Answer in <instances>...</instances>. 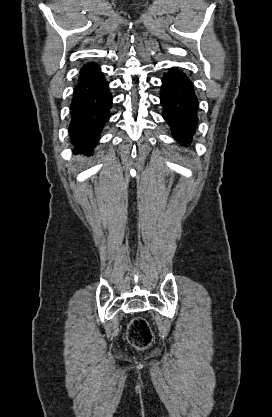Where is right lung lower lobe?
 Segmentation results:
<instances>
[{"mask_svg":"<svg viewBox=\"0 0 272 417\" xmlns=\"http://www.w3.org/2000/svg\"><path fill=\"white\" fill-rule=\"evenodd\" d=\"M80 72L71 102L69 132L76 152H90L110 117L112 96L96 64L87 63Z\"/></svg>","mask_w":272,"mask_h":417,"instance_id":"1","label":"right lung lower lobe"}]
</instances>
